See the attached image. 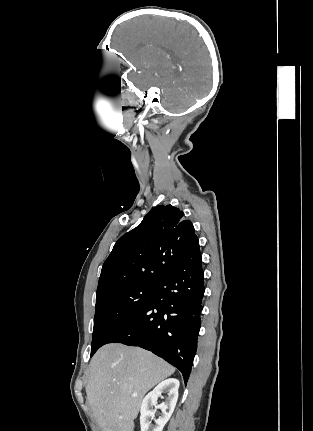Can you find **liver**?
<instances>
[{
	"mask_svg": "<svg viewBox=\"0 0 313 431\" xmlns=\"http://www.w3.org/2000/svg\"><path fill=\"white\" fill-rule=\"evenodd\" d=\"M174 372L142 348L119 343L101 347L89 365L86 394L102 431H133L145 394Z\"/></svg>",
	"mask_w": 313,
	"mask_h": 431,
	"instance_id": "1",
	"label": "liver"
}]
</instances>
